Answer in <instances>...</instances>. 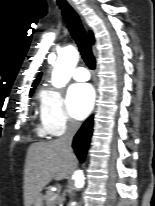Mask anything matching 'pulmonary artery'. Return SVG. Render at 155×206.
Here are the masks:
<instances>
[{
    "mask_svg": "<svg viewBox=\"0 0 155 206\" xmlns=\"http://www.w3.org/2000/svg\"><path fill=\"white\" fill-rule=\"evenodd\" d=\"M90 75L86 68L78 67L73 73V79L79 82L89 80Z\"/></svg>",
    "mask_w": 155,
    "mask_h": 206,
    "instance_id": "pulmonary-artery-1",
    "label": "pulmonary artery"
}]
</instances>
